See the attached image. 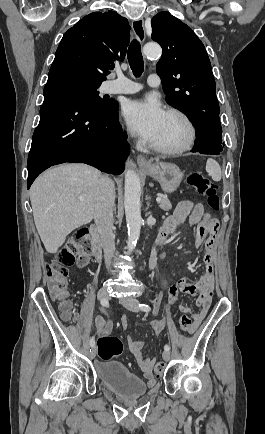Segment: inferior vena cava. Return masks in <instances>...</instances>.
<instances>
[{
  "label": "inferior vena cava",
  "mask_w": 265,
  "mask_h": 434,
  "mask_svg": "<svg viewBox=\"0 0 265 434\" xmlns=\"http://www.w3.org/2000/svg\"><path fill=\"white\" fill-rule=\"evenodd\" d=\"M97 198L94 208V220L100 234L106 268H110L115 252V236L113 234V208L115 202V186L106 176H100L97 184Z\"/></svg>",
  "instance_id": "602c4592"
}]
</instances>
